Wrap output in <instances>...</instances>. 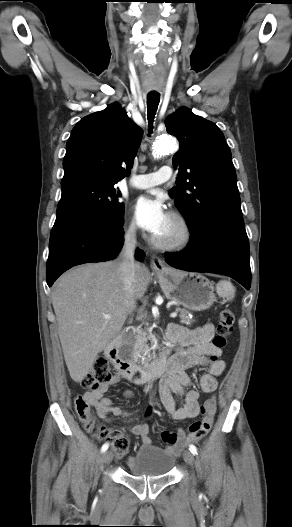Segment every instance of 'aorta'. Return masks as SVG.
I'll return each mask as SVG.
<instances>
[{"label":"aorta","mask_w":292,"mask_h":527,"mask_svg":"<svg viewBox=\"0 0 292 527\" xmlns=\"http://www.w3.org/2000/svg\"><path fill=\"white\" fill-rule=\"evenodd\" d=\"M154 152L157 155L170 153L175 148V142L171 136H161L154 142Z\"/></svg>","instance_id":"1"}]
</instances>
